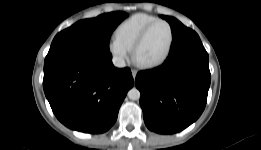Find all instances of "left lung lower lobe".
I'll return each mask as SVG.
<instances>
[{"mask_svg": "<svg viewBox=\"0 0 261 150\" xmlns=\"http://www.w3.org/2000/svg\"><path fill=\"white\" fill-rule=\"evenodd\" d=\"M208 61L199 36L185 28L173 37L163 65L137 74L144 122L151 131L176 133L199 118L211 80Z\"/></svg>", "mask_w": 261, "mask_h": 150, "instance_id": "0a47b994", "label": "left lung lower lobe"}]
</instances>
